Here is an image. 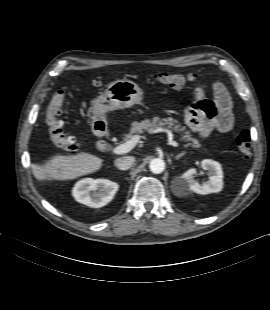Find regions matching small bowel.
<instances>
[{"instance_id": "c3829d8e", "label": "small bowel", "mask_w": 270, "mask_h": 310, "mask_svg": "<svg viewBox=\"0 0 270 310\" xmlns=\"http://www.w3.org/2000/svg\"><path fill=\"white\" fill-rule=\"evenodd\" d=\"M215 106L218 113H207L200 109V103L206 101L205 91L201 86L194 89L195 101L185 116L186 125L201 138L207 137L213 130L221 133L230 131L234 124L232 101L221 82L213 84Z\"/></svg>"}]
</instances>
